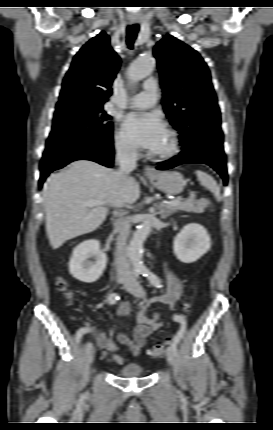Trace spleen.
<instances>
[{"label": "spleen", "mask_w": 273, "mask_h": 430, "mask_svg": "<svg viewBox=\"0 0 273 430\" xmlns=\"http://www.w3.org/2000/svg\"><path fill=\"white\" fill-rule=\"evenodd\" d=\"M195 173L201 185L209 189L214 194L217 201H221L223 197L220 193V188L214 178L201 170H197Z\"/></svg>", "instance_id": "3e777b00"}]
</instances>
